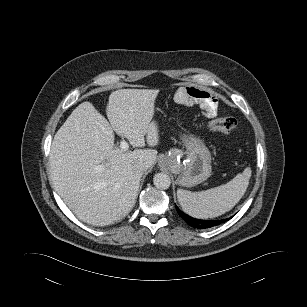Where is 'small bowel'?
<instances>
[{
    "instance_id": "c3829d8e",
    "label": "small bowel",
    "mask_w": 307,
    "mask_h": 307,
    "mask_svg": "<svg viewBox=\"0 0 307 307\" xmlns=\"http://www.w3.org/2000/svg\"><path fill=\"white\" fill-rule=\"evenodd\" d=\"M175 99L180 104L190 105L199 103L202 113L207 117H214L217 113V103L208 91L197 87H184L177 91Z\"/></svg>"
}]
</instances>
